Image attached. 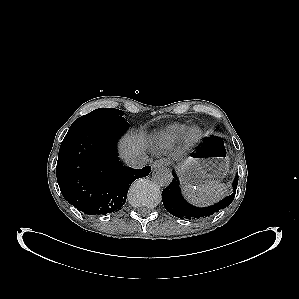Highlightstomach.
Returning a JSON list of instances; mask_svg holds the SVG:
<instances>
[{
    "instance_id": "obj_1",
    "label": "stomach",
    "mask_w": 299,
    "mask_h": 299,
    "mask_svg": "<svg viewBox=\"0 0 299 299\" xmlns=\"http://www.w3.org/2000/svg\"><path fill=\"white\" fill-rule=\"evenodd\" d=\"M229 170V157L219 136L207 138L184 162L178 165L185 185L199 186L207 181L220 180Z\"/></svg>"
}]
</instances>
